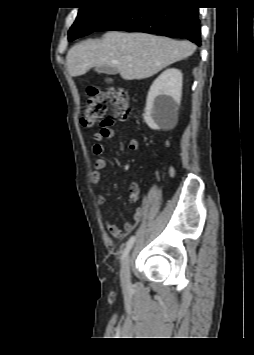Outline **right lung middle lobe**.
I'll use <instances>...</instances> for the list:
<instances>
[{"mask_svg":"<svg viewBox=\"0 0 254 355\" xmlns=\"http://www.w3.org/2000/svg\"><path fill=\"white\" fill-rule=\"evenodd\" d=\"M123 5L115 0H95L79 9L77 18L69 30V41L96 31L108 18Z\"/></svg>","mask_w":254,"mask_h":355,"instance_id":"1","label":"right lung middle lobe"}]
</instances>
